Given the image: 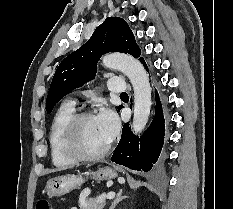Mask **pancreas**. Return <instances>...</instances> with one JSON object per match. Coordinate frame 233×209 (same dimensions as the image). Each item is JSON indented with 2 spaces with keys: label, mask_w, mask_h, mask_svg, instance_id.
<instances>
[{
  "label": "pancreas",
  "mask_w": 233,
  "mask_h": 209,
  "mask_svg": "<svg viewBox=\"0 0 233 209\" xmlns=\"http://www.w3.org/2000/svg\"><path fill=\"white\" fill-rule=\"evenodd\" d=\"M87 190L82 192L79 198L80 209H103L105 206V196H98L96 198H85V193Z\"/></svg>",
  "instance_id": "1"
}]
</instances>
